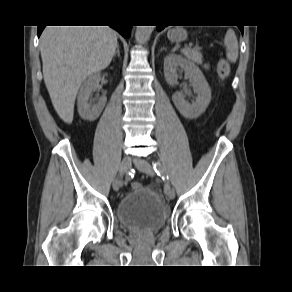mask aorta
<instances>
[{"label":"aorta","instance_id":"1","mask_svg":"<svg viewBox=\"0 0 292 292\" xmlns=\"http://www.w3.org/2000/svg\"><path fill=\"white\" fill-rule=\"evenodd\" d=\"M154 26H136L135 39L139 44H145L150 39Z\"/></svg>","mask_w":292,"mask_h":292}]
</instances>
